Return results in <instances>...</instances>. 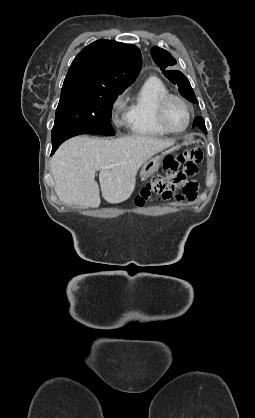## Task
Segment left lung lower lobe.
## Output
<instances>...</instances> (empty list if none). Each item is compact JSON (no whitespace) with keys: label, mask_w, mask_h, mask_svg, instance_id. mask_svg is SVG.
<instances>
[{"label":"left lung lower lobe","mask_w":255,"mask_h":418,"mask_svg":"<svg viewBox=\"0 0 255 418\" xmlns=\"http://www.w3.org/2000/svg\"><path fill=\"white\" fill-rule=\"evenodd\" d=\"M193 127H199L203 132L206 133L205 122H204L203 118H201V117H197L194 120Z\"/></svg>","instance_id":"obj_1"}]
</instances>
